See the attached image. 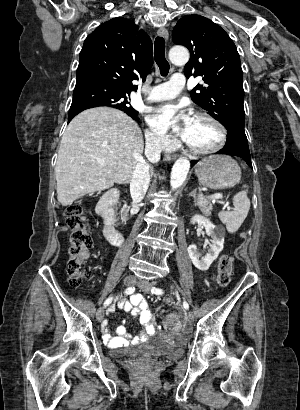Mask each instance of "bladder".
I'll list each match as a JSON object with an SVG mask.
<instances>
[{
    "label": "bladder",
    "instance_id": "obj_1",
    "mask_svg": "<svg viewBox=\"0 0 300 410\" xmlns=\"http://www.w3.org/2000/svg\"><path fill=\"white\" fill-rule=\"evenodd\" d=\"M183 347V343L164 341L159 344L148 345L142 350V353L150 355L161 354L171 357H178L182 355ZM122 350L124 349H120L118 352H121ZM115 351L116 350H113L112 353H114Z\"/></svg>",
    "mask_w": 300,
    "mask_h": 410
}]
</instances>
